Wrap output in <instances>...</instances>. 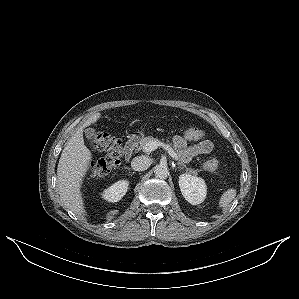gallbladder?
Here are the masks:
<instances>
[{
	"instance_id": "1",
	"label": "gallbladder",
	"mask_w": 299,
	"mask_h": 299,
	"mask_svg": "<svg viewBox=\"0 0 299 299\" xmlns=\"http://www.w3.org/2000/svg\"><path fill=\"white\" fill-rule=\"evenodd\" d=\"M84 133L88 141H93L95 139V130L93 128H86Z\"/></svg>"
}]
</instances>
